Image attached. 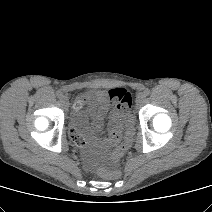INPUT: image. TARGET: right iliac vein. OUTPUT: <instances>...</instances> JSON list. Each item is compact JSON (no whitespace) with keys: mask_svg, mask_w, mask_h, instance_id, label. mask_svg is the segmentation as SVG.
Segmentation results:
<instances>
[{"mask_svg":"<svg viewBox=\"0 0 212 212\" xmlns=\"http://www.w3.org/2000/svg\"><path fill=\"white\" fill-rule=\"evenodd\" d=\"M60 100H61V102L63 103V105H64L65 107H67V105H68V98H67V96L63 95V96L60 98Z\"/></svg>","mask_w":212,"mask_h":212,"instance_id":"1","label":"right iliac vein"}]
</instances>
